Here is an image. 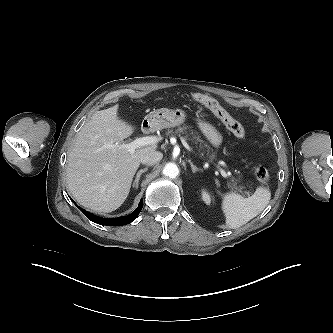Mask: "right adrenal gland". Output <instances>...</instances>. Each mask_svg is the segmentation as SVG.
<instances>
[{
    "label": "right adrenal gland",
    "mask_w": 333,
    "mask_h": 333,
    "mask_svg": "<svg viewBox=\"0 0 333 333\" xmlns=\"http://www.w3.org/2000/svg\"><path fill=\"white\" fill-rule=\"evenodd\" d=\"M147 170H148V167H146V168L141 169V170L138 171V173L136 175V178H135V180L133 182V188H136V189L138 188L141 174L144 173V172H146Z\"/></svg>",
    "instance_id": "obj_1"
}]
</instances>
